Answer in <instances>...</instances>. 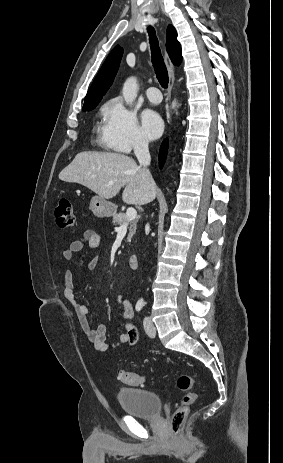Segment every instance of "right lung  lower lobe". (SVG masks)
I'll use <instances>...</instances> for the list:
<instances>
[{
  "mask_svg": "<svg viewBox=\"0 0 283 463\" xmlns=\"http://www.w3.org/2000/svg\"><path fill=\"white\" fill-rule=\"evenodd\" d=\"M167 146H168V143L165 140L163 142V144L161 145V148H160V151H159V166H160V168L162 167V165H163V163L165 161V157H166V153H167Z\"/></svg>",
  "mask_w": 283,
  "mask_h": 463,
  "instance_id": "right-lung-lower-lobe-1",
  "label": "right lung lower lobe"
}]
</instances>
